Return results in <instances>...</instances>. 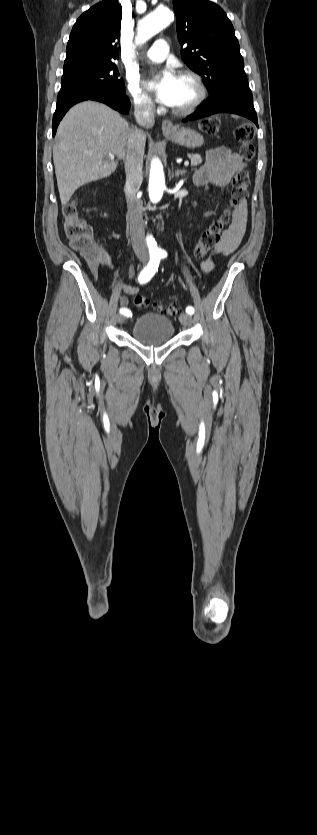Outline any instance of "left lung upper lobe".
Returning <instances> with one entry per match:
<instances>
[{"label":"left lung upper lobe","instance_id":"left-lung-upper-lobe-1","mask_svg":"<svg viewBox=\"0 0 317 835\" xmlns=\"http://www.w3.org/2000/svg\"><path fill=\"white\" fill-rule=\"evenodd\" d=\"M181 56L219 101L233 88H249L234 28L225 12L208 0H173Z\"/></svg>","mask_w":317,"mask_h":835}]
</instances>
